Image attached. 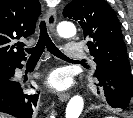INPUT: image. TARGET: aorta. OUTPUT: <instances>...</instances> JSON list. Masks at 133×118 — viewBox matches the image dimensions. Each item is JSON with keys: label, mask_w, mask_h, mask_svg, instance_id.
<instances>
[{"label": "aorta", "mask_w": 133, "mask_h": 118, "mask_svg": "<svg viewBox=\"0 0 133 118\" xmlns=\"http://www.w3.org/2000/svg\"><path fill=\"white\" fill-rule=\"evenodd\" d=\"M61 37L71 38L76 34L75 26L70 22H61L57 27ZM84 107L83 98L79 95L73 96L67 104L65 118H79Z\"/></svg>", "instance_id": "aorta-1"}]
</instances>
